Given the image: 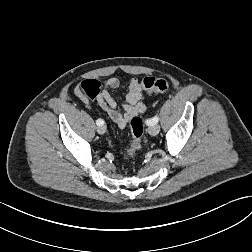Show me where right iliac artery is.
I'll list each match as a JSON object with an SVG mask.
<instances>
[{
	"label": "right iliac artery",
	"instance_id": "1",
	"mask_svg": "<svg viewBox=\"0 0 252 252\" xmlns=\"http://www.w3.org/2000/svg\"><path fill=\"white\" fill-rule=\"evenodd\" d=\"M96 124H97L98 126L103 125V124H104V121H103L102 119H98V120L96 121Z\"/></svg>",
	"mask_w": 252,
	"mask_h": 252
}]
</instances>
